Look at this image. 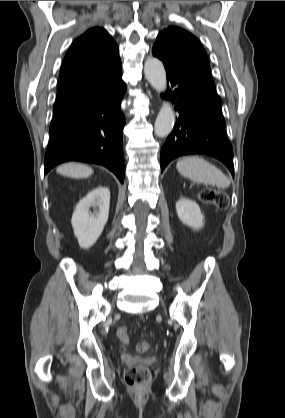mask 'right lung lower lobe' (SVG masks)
Listing matches in <instances>:
<instances>
[{
	"instance_id": "right-lung-lower-lobe-1",
	"label": "right lung lower lobe",
	"mask_w": 285,
	"mask_h": 418,
	"mask_svg": "<svg viewBox=\"0 0 285 418\" xmlns=\"http://www.w3.org/2000/svg\"><path fill=\"white\" fill-rule=\"evenodd\" d=\"M126 85L120 76L104 88L53 111L45 173L67 161L103 165L124 182L123 127L120 105Z\"/></svg>"
}]
</instances>
